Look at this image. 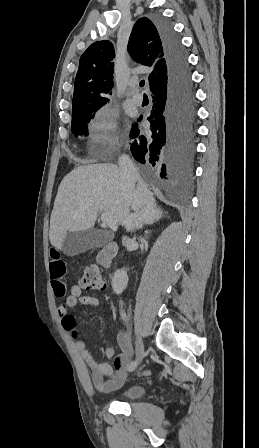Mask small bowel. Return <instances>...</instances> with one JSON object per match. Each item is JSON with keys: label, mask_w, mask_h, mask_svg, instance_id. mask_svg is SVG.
<instances>
[{"label": "small bowel", "mask_w": 259, "mask_h": 448, "mask_svg": "<svg viewBox=\"0 0 259 448\" xmlns=\"http://www.w3.org/2000/svg\"><path fill=\"white\" fill-rule=\"evenodd\" d=\"M49 269L54 294L56 297L61 298L66 293V283L64 281L66 266L59 251L54 247L50 249ZM78 304L95 308L99 306L100 300L97 297L83 294L77 284L71 285L70 294L58 306L57 311L63 329L72 336H76V322L70 310ZM117 341L121 353L114 358L113 367L108 363L97 361L84 341H76V348L88 367L87 382L102 392H110L120 388L127 377L126 370H128L133 354L132 346L125 333H119ZM104 354L108 359H112L114 357V349L111 346H107ZM149 374V371L143 372V375Z\"/></svg>", "instance_id": "1"}]
</instances>
